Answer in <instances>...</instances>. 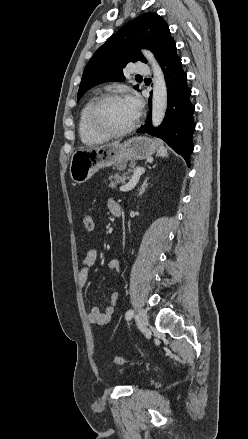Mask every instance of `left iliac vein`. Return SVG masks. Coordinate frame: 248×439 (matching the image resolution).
Masks as SVG:
<instances>
[{
	"mask_svg": "<svg viewBox=\"0 0 248 439\" xmlns=\"http://www.w3.org/2000/svg\"><path fill=\"white\" fill-rule=\"evenodd\" d=\"M136 320L142 328H146L148 326V317L144 309H140L138 311V314L136 315Z\"/></svg>",
	"mask_w": 248,
	"mask_h": 439,
	"instance_id": "1",
	"label": "left iliac vein"
}]
</instances>
